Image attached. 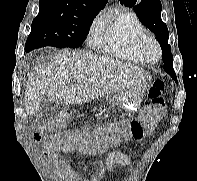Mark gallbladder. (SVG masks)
<instances>
[{"label": "gallbladder", "instance_id": "obj_1", "mask_svg": "<svg viewBox=\"0 0 197 181\" xmlns=\"http://www.w3.org/2000/svg\"><path fill=\"white\" fill-rule=\"evenodd\" d=\"M54 106V102L49 97H44L41 100V109L40 115H47V112L50 111Z\"/></svg>", "mask_w": 197, "mask_h": 181}]
</instances>
